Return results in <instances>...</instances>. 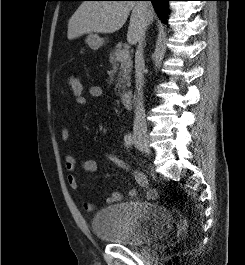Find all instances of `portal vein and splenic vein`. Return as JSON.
Masks as SVG:
<instances>
[{
	"instance_id": "18ae733b",
	"label": "portal vein and splenic vein",
	"mask_w": 245,
	"mask_h": 265,
	"mask_svg": "<svg viewBox=\"0 0 245 265\" xmlns=\"http://www.w3.org/2000/svg\"><path fill=\"white\" fill-rule=\"evenodd\" d=\"M129 56V49L125 48L120 54H119V59L123 58H127Z\"/></svg>"
}]
</instances>
